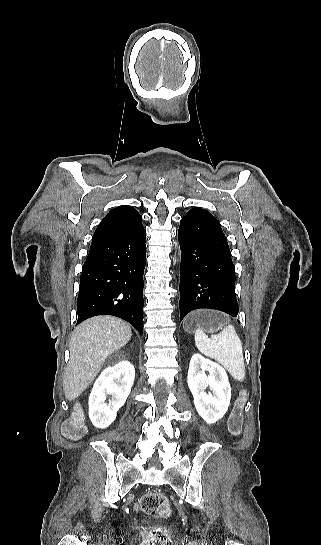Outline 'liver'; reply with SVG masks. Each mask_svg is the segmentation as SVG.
<instances>
[{"label": "liver", "instance_id": "obj_1", "mask_svg": "<svg viewBox=\"0 0 321 545\" xmlns=\"http://www.w3.org/2000/svg\"><path fill=\"white\" fill-rule=\"evenodd\" d=\"M132 337L127 323L116 317H93L75 329L70 359L63 379L64 395L74 401L94 381L105 359L127 345Z\"/></svg>", "mask_w": 321, "mask_h": 545}]
</instances>
